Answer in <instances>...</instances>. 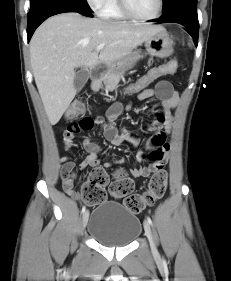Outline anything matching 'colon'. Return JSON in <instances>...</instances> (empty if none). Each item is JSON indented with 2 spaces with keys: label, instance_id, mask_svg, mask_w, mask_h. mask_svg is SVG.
I'll return each mask as SVG.
<instances>
[{
  "label": "colon",
  "instance_id": "colon-1",
  "mask_svg": "<svg viewBox=\"0 0 231 281\" xmlns=\"http://www.w3.org/2000/svg\"><path fill=\"white\" fill-rule=\"evenodd\" d=\"M178 68L176 60L149 69L144 75L127 83L122 92L124 95H138L147 90L149 85L162 76L174 74ZM81 102H74L68 109V116L74 117L83 111ZM109 177L102 168H94L89 179L83 184L80 197L90 205L103 202L107 193L105 187ZM167 188V173L164 170L156 171L150 178L147 189L140 194H130L134 189L133 181L124 170H117L114 180L109 186V193L113 198H124V205L133 213H138L148 206H152L161 199Z\"/></svg>",
  "mask_w": 231,
  "mask_h": 281
}]
</instances>
